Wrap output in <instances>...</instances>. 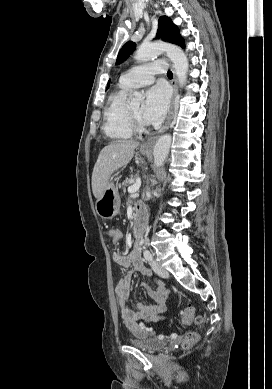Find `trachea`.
<instances>
[{
  "instance_id": "obj_1",
  "label": "trachea",
  "mask_w": 272,
  "mask_h": 389,
  "mask_svg": "<svg viewBox=\"0 0 272 389\" xmlns=\"http://www.w3.org/2000/svg\"><path fill=\"white\" fill-rule=\"evenodd\" d=\"M167 76H168L169 78H172V77H173L172 72H171V71H168V72H167Z\"/></svg>"
}]
</instances>
